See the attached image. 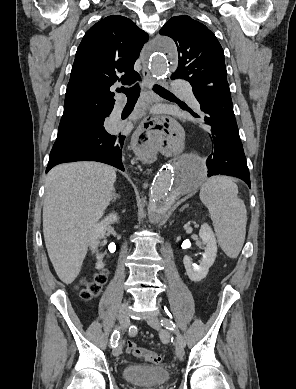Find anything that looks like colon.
<instances>
[{
    "label": "colon",
    "mask_w": 296,
    "mask_h": 389,
    "mask_svg": "<svg viewBox=\"0 0 296 389\" xmlns=\"http://www.w3.org/2000/svg\"><path fill=\"white\" fill-rule=\"evenodd\" d=\"M107 282V271L101 270L93 274V276L88 280H83L79 288L80 296L83 300H90L96 295L99 294L103 285ZM126 351L139 358L150 363H160L162 361V356L151 350H145L137 346L134 342L128 341L126 345Z\"/></svg>",
    "instance_id": "colon-1"
}]
</instances>
